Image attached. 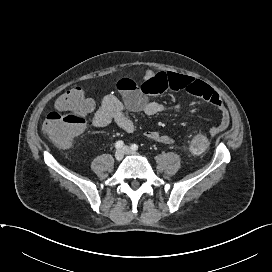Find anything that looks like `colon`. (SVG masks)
<instances>
[{"instance_id":"1","label":"colon","mask_w":272,"mask_h":272,"mask_svg":"<svg viewBox=\"0 0 272 272\" xmlns=\"http://www.w3.org/2000/svg\"><path fill=\"white\" fill-rule=\"evenodd\" d=\"M57 111L47 115L44 132L58 146L67 147L82 132L85 116L92 111L94 103L86 96L84 89L74 87L63 93L56 101ZM205 135H196L190 142V149L200 154L208 147Z\"/></svg>"}]
</instances>
